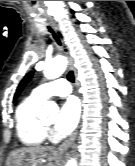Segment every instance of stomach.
<instances>
[{
    "mask_svg": "<svg viewBox=\"0 0 135 166\" xmlns=\"http://www.w3.org/2000/svg\"><path fill=\"white\" fill-rule=\"evenodd\" d=\"M23 162H24L23 157L15 156V157H12V159L7 162L6 166H24V165H22ZM28 164L29 165H27V166H44L42 163L34 165L33 162H29Z\"/></svg>",
    "mask_w": 135,
    "mask_h": 166,
    "instance_id": "1",
    "label": "stomach"
}]
</instances>
